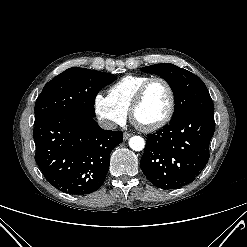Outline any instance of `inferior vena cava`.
<instances>
[{"instance_id":"inferior-vena-cava-1","label":"inferior vena cava","mask_w":247,"mask_h":247,"mask_svg":"<svg viewBox=\"0 0 247 247\" xmlns=\"http://www.w3.org/2000/svg\"><path fill=\"white\" fill-rule=\"evenodd\" d=\"M98 124L101 128L106 130H114L117 127V125L114 122L109 121L107 119H99Z\"/></svg>"}]
</instances>
